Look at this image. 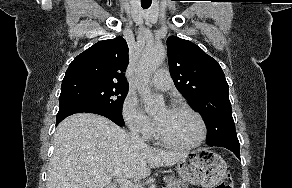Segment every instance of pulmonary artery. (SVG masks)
<instances>
[{
  "label": "pulmonary artery",
  "instance_id": "pulmonary-artery-1",
  "mask_svg": "<svg viewBox=\"0 0 292 188\" xmlns=\"http://www.w3.org/2000/svg\"><path fill=\"white\" fill-rule=\"evenodd\" d=\"M151 84L161 91H168L172 87V78L167 69H158L150 80Z\"/></svg>",
  "mask_w": 292,
  "mask_h": 188
}]
</instances>
